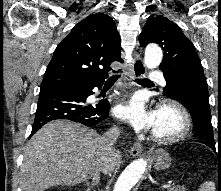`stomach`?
Masks as SVG:
<instances>
[{"label": "stomach", "mask_w": 221, "mask_h": 191, "mask_svg": "<svg viewBox=\"0 0 221 191\" xmlns=\"http://www.w3.org/2000/svg\"><path fill=\"white\" fill-rule=\"evenodd\" d=\"M151 164L156 170H165L171 165V157L165 150L158 149L151 157Z\"/></svg>", "instance_id": "1"}]
</instances>
